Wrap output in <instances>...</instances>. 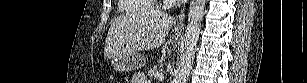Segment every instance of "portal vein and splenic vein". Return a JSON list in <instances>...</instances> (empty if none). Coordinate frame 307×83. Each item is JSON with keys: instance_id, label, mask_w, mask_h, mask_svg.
<instances>
[{"instance_id": "obj_1", "label": "portal vein and splenic vein", "mask_w": 307, "mask_h": 83, "mask_svg": "<svg viewBox=\"0 0 307 83\" xmlns=\"http://www.w3.org/2000/svg\"><path fill=\"white\" fill-rule=\"evenodd\" d=\"M158 77H159L160 79H164V76L161 75V74H159Z\"/></svg>"}]
</instances>
